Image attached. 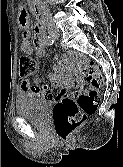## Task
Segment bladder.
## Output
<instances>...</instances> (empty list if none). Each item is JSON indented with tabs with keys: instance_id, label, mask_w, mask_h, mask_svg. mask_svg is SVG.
<instances>
[{
	"instance_id": "31cf9c89",
	"label": "bladder",
	"mask_w": 123,
	"mask_h": 167,
	"mask_svg": "<svg viewBox=\"0 0 123 167\" xmlns=\"http://www.w3.org/2000/svg\"><path fill=\"white\" fill-rule=\"evenodd\" d=\"M52 103L46 99L22 96L15 102L16 113L27 121L44 125L51 111Z\"/></svg>"
}]
</instances>
